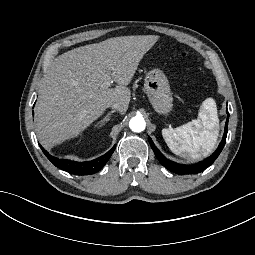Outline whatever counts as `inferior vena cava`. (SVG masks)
I'll return each instance as SVG.
<instances>
[{
	"label": "inferior vena cava",
	"mask_w": 255,
	"mask_h": 255,
	"mask_svg": "<svg viewBox=\"0 0 255 255\" xmlns=\"http://www.w3.org/2000/svg\"><path fill=\"white\" fill-rule=\"evenodd\" d=\"M111 107H112V109L120 110L121 105L117 102H114V103H112Z\"/></svg>",
	"instance_id": "1"
}]
</instances>
